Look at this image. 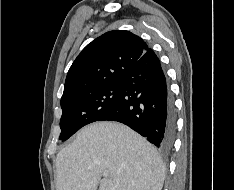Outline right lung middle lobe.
<instances>
[{
  "mask_svg": "<svg viewBox=\"0 0 234 190\" xmlns=\"http://www.w3.org/2000/svg\"><path fill=\"white\" fill-rule=\"evenodd\" d=\"M121 85L113 83L78 93L61 101L59 139L67 140L83 126L98 121L115 104Z\"/></svg>",
  "mask_w": 234,
  "mask_h": 190,
  "instance_id": "1",
  "label": "right lung middle lobe"
}]
</instances>
